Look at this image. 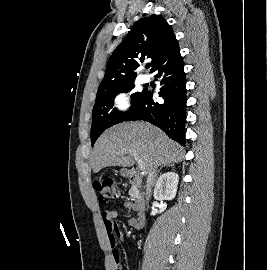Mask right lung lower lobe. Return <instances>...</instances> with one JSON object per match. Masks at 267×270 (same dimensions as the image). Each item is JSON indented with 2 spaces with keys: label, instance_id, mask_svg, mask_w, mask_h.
<instances>
[{
  "label": "right lung lower lobe",
  "instance_id": "1",
  "mask_svg": "<svg viewBox=\"0 0 267 270\" xmlns=\"http://www.w3.org/2000/svg\"><path fill=\"white\" fill-rule=\"evenodd\" d=\"M154 72L155 78L160 79L159 97L164 102H156L152 92L147 90L124 121H148L184 145L186 79L178 43L159 61Z\"/></svg>",
  "mask_w": 267,
  "mask_h": 270
}]
</instances>
